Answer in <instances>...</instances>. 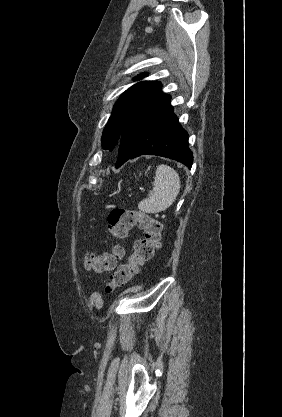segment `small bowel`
<instances>
[{
    "instance_id": "c3829d8e",
    "label": "small bowel",
    "mask_w": 282,
    "mask_h": 417,
    "mask_svg": "<svg viewBox=\"0 0 282 417\" xmlns=\"http://www.w3.org/2000/svg\"><path fill=\"white\" fill-rule=\"evenodd\" d=\"M121 255V252L119 253ZM88 306L91 309H100L103 306V299L98 292H93L89 296Z\"/></svg>"
}]
</instances>
